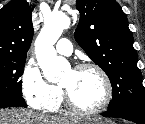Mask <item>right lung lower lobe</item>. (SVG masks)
<instances>
[{
    "label": "right lung lower lobe",
    "instance_id": "obj_1",
    "mask_svg": "<svg viewBox=\"0 0 145 124\" xmlns=\"http://www.w3.org/2000/svg\"><path fill=\"white\" fill-rule=\"evenodd\" d=\"M3 107H27L24 98L18 95L0 96V108Z\"/></svg>",
    "mask_w": 145,
    "mask_h": 124
}]
</instances>
